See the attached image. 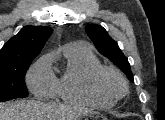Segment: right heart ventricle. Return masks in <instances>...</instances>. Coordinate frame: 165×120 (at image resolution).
<instances>
[{"label": "right heart ventricle", "mask_w": 165, "mask_h": 120, "mask_svg": "<svg viewBox=\"0 0 165 120\" xmlns=\"http://www.w3.org/2000/svg\"><path fill=\"white\" fill-rule=\"evenodd\" d=\"M63 69L55 84L52 96L62 102L97 107H111L114 102L93 96L88 89L91 71L101 65L98 57L88 48L78 45L63 50Z\"/></svg>", "instance_id": "e07e8e85"}]
</instances>
